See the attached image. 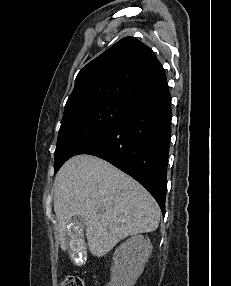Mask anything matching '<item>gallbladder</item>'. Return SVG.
<instances>
[{
  "instance_id": "bac80fb5",
  "label": "gallbladder",
  "mask_w": 231,
  "mask_h": 286,
  "mask_svg": "<svg viewBox=\"0 0 231 286\" xmlns=\"http://www.w3.org/2000/svg\"><path fill=\"white\" fill-rule=\"evenodd\" d=\"M66 233L69 238L67 239V249L70 252L68 255L72 259L74 265L80 266L86 263L87 249L85 247V241L83 237V230H87L85 219L81 214H75L70 217L69 223L66 224Z\"/></svg>"
}]
</instances>
